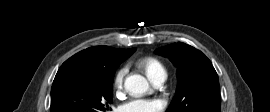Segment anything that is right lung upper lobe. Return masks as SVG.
<instances>
[{
  "label": "right lung upper lobe",
  "mask_w": 270,
  "mask_h": 112,
  "mask_svg": "<svg viewBox=\"0 0 270 112\" xmlns=\"http://www.w3.org/2000/svg\"><path fill=\"white\" fill-rule=\"evenodd\" d=\"M133 50L134 48L116 49L109 46H96L80 51L64 63L113 69L127 59Z\"/></svg>",
  "instance_id": "1"
}]
</instances>
